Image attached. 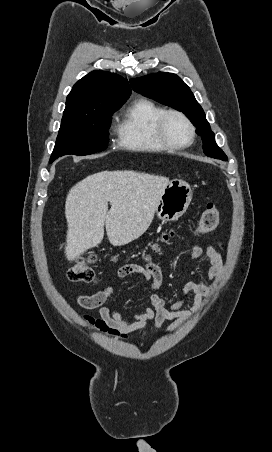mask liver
I'll return each mask as SVG.
<instances>
[{"instance_id": "1", "label": "liver", "mask_w": 272, "mask_h": 452, "mask_svg": "<svg viewBox=\"0 0 272 452\" xmlns=\"http://www.w3.org/2000/svg\"><path fill=\"white\" fill-rule=\"evenodd\" d=\"M168 183L164 176L124 170L98 172L75 184L65 203L68 261L98 246L104 227L114 246L139 238L149 228Z\"/></svg>"}]
</instances>
